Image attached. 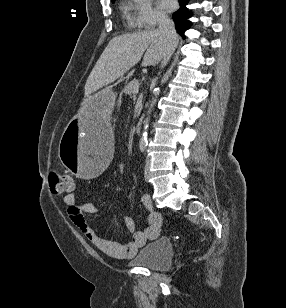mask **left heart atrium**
<instances>
[{
	"label": "left heart atrium",
	"instance_id": "39dd6f15",
	"mask_svg": "<svg viewBox=\"0 0 286 308\" xmlns=\"http://www.w3.org/2000/svg\"><path fill=\"white\" fill-rule=\"evenodd\" d=\"M157 4L164 11H172L176 7L175 0H157Z\"/></svg>",
	"mask_w": 286,
	"mask_h": 308
}]
</instances>
